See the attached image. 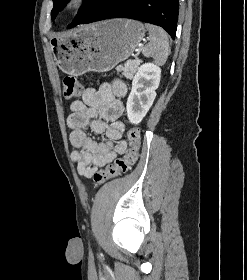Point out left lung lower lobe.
Listing matches in <instances>:
<instances>
[{
	"mask_svg": "<svg viewBox=\"0 0 247 280\" xmlns=\"http://www.w3.org/2000/svg\"><path fill=\"white\" fill-rule=\"evenodd\" d=\"M179 0H107L79 24L109 18H131L164 28L174 39L177 29ZM76 26V25H75ZM74 27L71 23L69 28Z\"/></svg>",
	"mask_w": 247,
	"mask_h": 280,
	"instance_id": "1",
	"label": "left lung lower lobe"
}]
</instances>
